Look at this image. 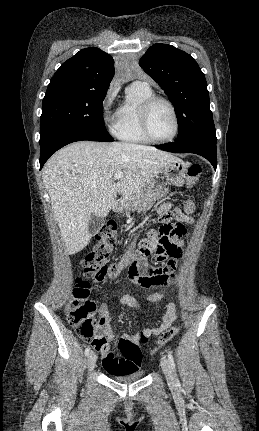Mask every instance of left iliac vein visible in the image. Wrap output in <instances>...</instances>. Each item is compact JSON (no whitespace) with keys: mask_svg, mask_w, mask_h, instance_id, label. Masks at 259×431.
Listing matches in <instances>:
<instances>
[{"mask_svg":"<svg viewBox=\"0 0 259 431\" xmlns=\"http://www.w3.org/2000/svg\"><path fill=\"white\" fill-rule=\"evenodd\" d=\"M161 367L163 370V373L166 377V380L168 382L169 385H174L175 384V378H174V374L171 368V365L169 363V361L166 358H162L161 360Z\"/></svg>","mask_w":259,"mask_h":431,"instance_id":"4c4485c4","label":"left iliac vein"}]
</instances>
